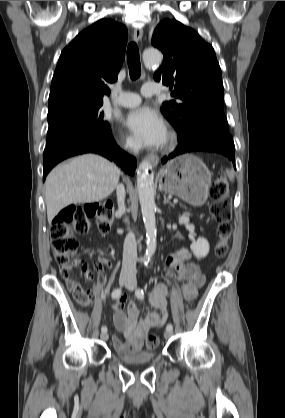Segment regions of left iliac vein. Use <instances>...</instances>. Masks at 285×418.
Masks as SVG:
<instances>
[{"instance_id": "left-iliac-vein-1", "label": "left iliac vein", "mask_w": 285, "mask_h": 418, "mask_svg": "<svg viewBox=\"0 0 285 418\" xmlns=\"http://www.w3.org/2000/svg\"><path fill=\"white\" fill-rule=\"evenodd\" d=\"M136 286H137V283H136V280L134 279V278H131L127 283H126V288L129 290V291H133L135 288H136ZM172 334H173V332H172V330H167L165 333H164V337L166 338V339H168V338H170L171 336H172Z\"/></svg>"}]
</instances>
